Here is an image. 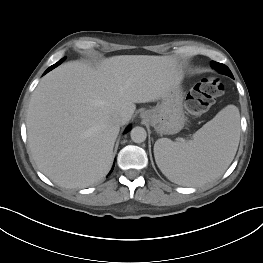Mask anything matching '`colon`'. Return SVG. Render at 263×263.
Here are the masks:
<instances>
[{
	"mask_svg": "<svg viewBox=\"0 0 263 263\" xmlns=\"http://www.w3.org/2000/svg\"><path fill=\"white\" fill-rule=\"evenodd\" d=\"M224 92V86L218 78L208 77L198 82L187 94L185 109L193 117L206 113Z\"/></svg>",
	"mask_w": 263,
	"mask_h": 263,
	"instance_id": "colon-1",
	"label": "colon"
}]
</instances>
